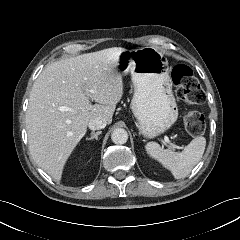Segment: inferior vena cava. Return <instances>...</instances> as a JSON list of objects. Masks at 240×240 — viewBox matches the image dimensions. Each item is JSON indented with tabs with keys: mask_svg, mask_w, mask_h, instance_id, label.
<instances>
[{
	"mask_svg": "<svg viewBox=\"0 0 240 240\" xmlns=\"http://www.w3.org/2000/svg\"><path fill=\"white\" fill-rule=\"evenodd\" d=\"M106 120L100 116L91 119L88 123V127L91 130H99L103 129L106 126Z\"/></svg>",
	"mask_w": 240,
	"mask_h": 240,
	"instance_id": "602c4592",
	"label": "inferior vena cava"
}]
</instances>
